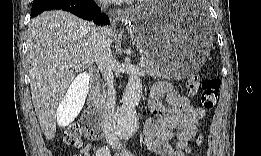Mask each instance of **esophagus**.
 Here are the masks:
<instances>
[{"label":"esophagus","instance_id":"obj_1","mask_svg":"<svg viewBox=\"0 0 261 156\" xmlns=\"http://www.w3.org/2000/svg\"><path fill=\"white\" fill-rule=\"evenodd\" d=\"M124 10H117L114 14V20H121V17H124Z\"/></svg>","mask_w":261,"mask_h":156}]
</instances>
